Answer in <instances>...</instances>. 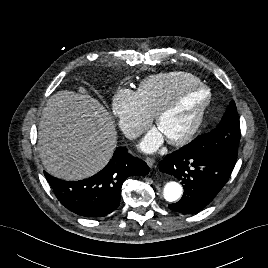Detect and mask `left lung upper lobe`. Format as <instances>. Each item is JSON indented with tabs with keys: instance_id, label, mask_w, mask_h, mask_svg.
<instances>
[{
	"instance_id": "1",
	"label": "left lung upper lobe",
	"mask_w": 268,
	"mask_h": 268,
	"mask_svg": "<svg viewBox=\"0 0 268 268\" xmlns=\"http://www.w3.org/2000/svg\"><path fill=\"white\" fill-rule=\"evenodd\" d=\"M239 139V118L235 103L231 101L214 130L197 137L182 149L192 153L218 155L236 162Z\"/></svg>"
}]
</instances>
